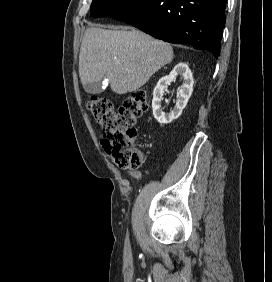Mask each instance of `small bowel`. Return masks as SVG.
Segmentation results:
<instances>
[{
  "label": "small bowel",
  "instance_id": "1",
  "mask_svg": "<svg viewBox=\"0 0 272 282\" xmlns=\"http://www.w3.org/2000/svg\"><path fill=\"white\" fill-rule=\"evenodd\" d=\"M125 172L130 178L136 181H138L141 178V173L139 171L126 170Z\"/></svg>",
  "mask_w": 272,
  "mask_h": 282
}]
</instances>
